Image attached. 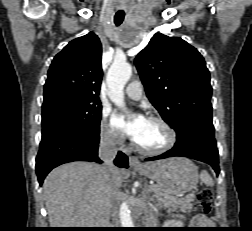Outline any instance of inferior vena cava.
<instances>
[{
	"label": "inferior vena cava",
	"mask_w": 252,
	"mask_h": 231,
	"mask_svg": "<svg viewBox=\"0 0 252 231\" xmlns=\"http://www.w3.org/2000/svg\"><path fill=\"white\" fill-rule=\"evenodd\" d=\"M116 155L117 148L114 135L111 133L102 134L100 138L99 158L104 161V167L110 177V183L112 187V196L110 199V216L114 224L117 226L119 224L117 210L118 189L116 188L115 180L113 178V174L117 170V168L113 164V160L115 159Z\"/></svg>",
	"instance_id": "602c4592"
}]
</instances>
